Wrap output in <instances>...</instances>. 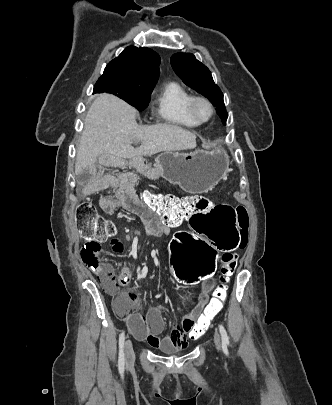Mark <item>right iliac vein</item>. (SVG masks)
<instances>
[{
	"label": "right iliac vein",
	"mask_w": 332,
	"mask_h": 405,
	"mask_svg": "<svg viewBox=\"0 0 332 405\" xmlns=\"http://www.w3.org/2000/svg\"><path fill=\"white\" fill-rule=\"evenodd\" d=\"M124 348H125L126 365L131 366L135 360V353H134L132 342L130 340H127L125 342Z\"/></svg>",
	"instance_id": "63e3f726"
}]
</instances>
